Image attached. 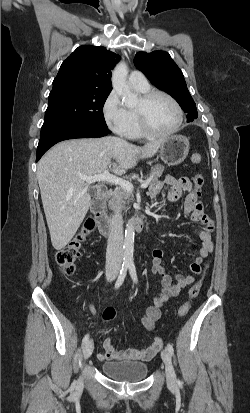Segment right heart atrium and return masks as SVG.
Listing matches in <instances>:
<instances>
[{"mask_svg": "<svg viewBox=\"0 0 250 413\" xmlns=\"http://www.w3.org/2000/svg\"><path fill=\"white\" fill-rule=\"evenodd\" d=\"M102 115L108 128L121 136L127 134L129 116L127 109L123 106L117 92L112 90L105 98L102 105Z\"/></svg>", "mask_w": 250, "mask_h": 413, "instance_id": "d8ad5b80", "label": "right heart atrium"}]
</instances>
